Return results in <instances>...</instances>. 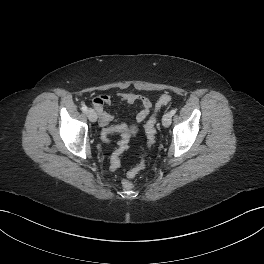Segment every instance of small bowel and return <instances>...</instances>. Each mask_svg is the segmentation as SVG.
<instances>
[{
    "label": "small bowel",
    "mask_w": 264,
    "mask_h": 264,
    "mask_svg": "<svg viewBox=\"0 0 264 264\" xmlns=\"http://www.w3.org/2000/svg\"><path fill=\"white\" fill-rule=\"evenodd\" d=\"M118 99L127 104L140 102L141 109L135 116L137 124L144 122L149 116L152 108V101L149 97L132 92H123L118 95ZM112 102L113 100L108 94H99L92 99V106L98 116L99 124L103 128L102 135L105 133L110 135L115 133L121 134L118 147L112 153L110 160V168L116 170L120 165V156L127 149L122 145V142L124 138L130 140V129L125 123L113 124L114 116L105 110V107L110 106Z\"/></svg>",
    "instance_id": "small-bowel-1"
}]
</instances>
